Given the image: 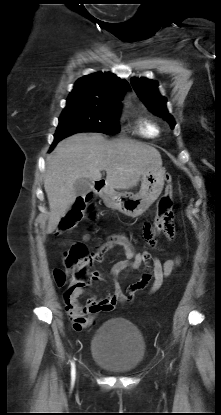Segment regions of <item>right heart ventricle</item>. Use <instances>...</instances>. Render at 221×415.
Masks as SVG:
<instances>
[{
    "label": "right heart ventricle",
    "instance_id": "right-heart-ventricle-1",
    "mask_svg": "<svg viewBox=\"0 0 221 415\" xmlns=\"http://www.w3.org/2000/svg\"><path fill=\"white\" fill-rule=\"evenodd\" d=\"M137 132L148 138L157 137L160 129L156 123L147 117H140L137 122Z\"/></svg>",
    "mask_w": 221,
    "mask_h": 415
}]
</instances>
